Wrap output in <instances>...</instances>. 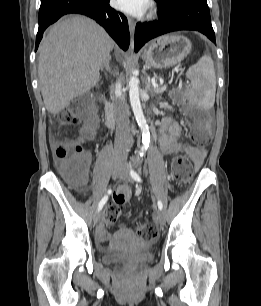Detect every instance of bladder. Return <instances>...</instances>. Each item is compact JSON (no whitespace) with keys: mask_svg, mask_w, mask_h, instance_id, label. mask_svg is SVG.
I'll use <instances>...</instances> for the list:
<instances>
[{"mask_svg":"<svg viewBox=\"0 0 261 306\" xmlns=\"http://www.w3.org/2000/svg\"><path fill=\"white\" fill-rule=\"evenodd\" d=\"M127 236L135 240L138 239L129 229L119 231L116 235L117 241L102 251L104 264L128 262L134 265H143L153 259V244L143 242L139 247H131L124 243Z\"/></svg>","mask_w":261,"mask_h":306,"instance_id":"1","label":"bladder"}]
</instances>
